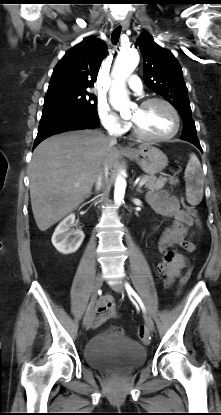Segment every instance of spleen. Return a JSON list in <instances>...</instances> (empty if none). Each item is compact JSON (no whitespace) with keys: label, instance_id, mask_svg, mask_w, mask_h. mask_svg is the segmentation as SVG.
I'll use <instances>...</instances> for the list:
<instances>
[{"label":"spleen","instance_id":"3e777b00","mask_svg":"<svg viewBox=\"0 0 221 415\" xmlns=\"http://www.w3.org/2000/svg\"><path fill=\"white\" fill-rule=\"evenodd\" d=\"M186 197L192 205H198L203 198L204 179L199 159L191 154L185 169Z\"/></svg>","mask_w":221,"mask_h":415}]
</instances>
